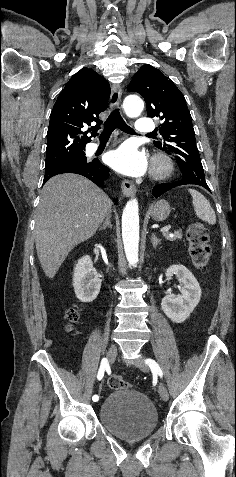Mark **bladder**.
Here are the masks:
<instances>
[{
  "mask_svg": "<svg viewBox=\"0 0 236 477\" xmlns=\"http://www.w3.org/2000/svg\"><path fill=\"white\" fill-rule=\"evenodd\" d=\"M103 427L123 440L148 438L158 427V412L150 399L132 389H114L100 404Z\"/></svg>",
  "mask_w": 236,
  "mask_h": 477,
  "instance_id": "obj_1",
  "label": "bladder"
}]
</instances>
